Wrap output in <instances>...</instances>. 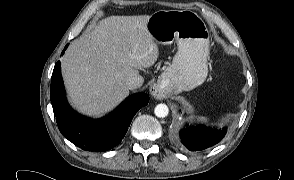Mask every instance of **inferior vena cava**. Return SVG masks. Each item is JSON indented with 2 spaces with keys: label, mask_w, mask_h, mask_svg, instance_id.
<instances>
[{
  "label": "inferior vena cava",
  "mask_w": 294,
  "mask_h": 180,
  "mask_svg": "<svg viewBox=\"0 0 294 180\" xmlns=\"http://www.w3.org/2000/svg\"><path fill=\"white\" fill-rule=\"evenodd\" d=\"M143 82H144V78L142 76L135 75L127 81V87L129 90H134L141 87Z\"/></svg>",
  "instance_id": "obj_1"
}]
</instances>
